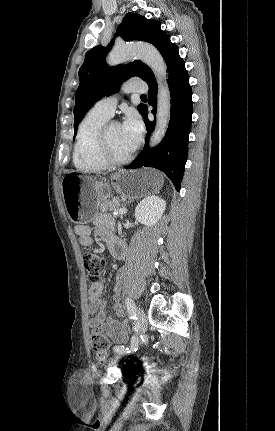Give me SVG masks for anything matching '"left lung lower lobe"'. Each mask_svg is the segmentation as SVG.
<instances>
[{"label": "left lung lower lobe", "instance_id": "left-lung-lower-lobe-1", "mask_svg": "<svg viewBox=\"0 0 275 431\" xmlns=\"http://www.w3.org/2000/svg\"><path fill=\"white\" fill-rule=\"evenodd\" d=\"M168 71V84L171 92V116L165 138L154 149L148 148L146 143L144 149L136 157L134 162L126 169L153 167L163 171L173 182L177 191L180 190L187 161L189 133L191 131L192 90L189 85V76L185 69V63L179 56V51L174 46L166 58ZM149 85V104L153 107L154 115L157 104V83L154 78L147 82ZM141 115L145 119L147 137L154 129L155 124L148 121L147 106Z\"/></svg>", "mask_w": 275, "mask_h": 431}]
</instances>
